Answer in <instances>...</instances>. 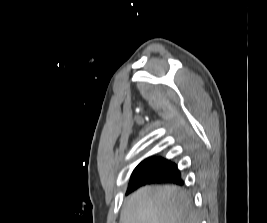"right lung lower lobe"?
<instances>
[{
    "label": "right lung lower lobe",
    "instance_id": "98d812e1",
    "mask_svg": "<svg viewBox=\"0 0 267 223\" xmlns=\"http://www.w3.org/2000/svg\"><path fill=\"white\" fill-rule=\"evenodd\" d=\"M171 182L175 184L182 185L183 181L180 178V171L176 168L170 173H160V172H140L132 175L131 181L127 193L137 189L138 187L146 184L152 183H163Z\"/></svg>",
    "mask_w": 267,
    "mask_h": 223
}]
</instances>
